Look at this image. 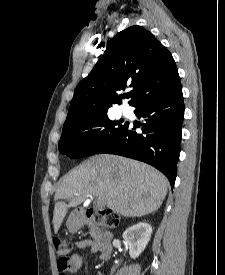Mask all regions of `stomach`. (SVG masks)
<instances>
[{"mask_svg": "<svg viewBox=\"0 0 225 275\" xmlns=\"http://www.w3.org/2000/svg\"><path fill=\"white\" fill-rule=\"evenodd\" d=\"M68 225H69V228H70V229H73V228H74V227H71L70 224H68ZM75 228H77V226H75Z\"/></svg>", "mask_w": 225, "mask_h": 275, "instance_id": "1", "label": "stomach"}]
</instances>
